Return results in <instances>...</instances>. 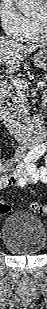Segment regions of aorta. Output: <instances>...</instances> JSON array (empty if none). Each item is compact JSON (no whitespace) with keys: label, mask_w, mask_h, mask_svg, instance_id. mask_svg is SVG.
Masks as SVG:
<instances>
[{"label":"aorta","mask_w":47,"mask_h":309,"mask_svg":"<svg viewBox=\"0 0 47 309\" xmlns=\"http://www.w3.org/2000/svg\"><path fill=\"white\" fill-rule=\"evenodd\" d=\"M25 16L33 15L37 10L36 0H14Z\"/></svg>","instance_id":"762f6f07"}]
</instances>
